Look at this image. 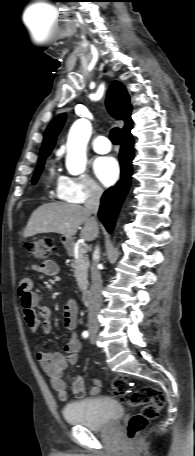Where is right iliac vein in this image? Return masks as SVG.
I'll return each mask as SVG.
<instances>
[{
  "label": "right iliac vein",
  "mask_w": 195,
  "mask_h": 456,
  "mask_svg": "<svg viewBox=\"0 0 195 456\" xmlns=\"http://www.w3.org/2000/svg\"><path fill=\"white\" fill-rule=\"evenodd\" d=\"M97 331H98V328H96V327H91V328H90V333H91V334H96Z\"/></svg>",
  "instance_id": "right-iliac-vein-1"
}]
</instances>
